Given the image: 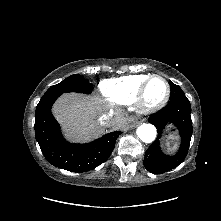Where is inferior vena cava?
Listing matches in <instances>:
<instances>
[{"label": "inferior vena cava", "instance_id": "obj_1", "mask_svg": "<svg viewBox=\"0 0 221 221\" xmlns=\"http://www.w3.org/2000/svg\"><path fill=\"white\" fill-rule=\"evenodd\" d=\"M99 120L102 125L109 126L112 120L111 112H109L108 114H103L102 116H100Z\"/></svg>", "mask_w": 221, "mask_h": 221}]
</instances>
